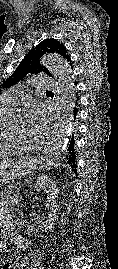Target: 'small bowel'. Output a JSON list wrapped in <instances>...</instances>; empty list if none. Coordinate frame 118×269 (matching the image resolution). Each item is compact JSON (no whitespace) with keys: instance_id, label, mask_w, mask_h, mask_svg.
I'll return each mask as SVG.
<instances>
[{"instance_id":"obj_1","label":"small bowel","mask_w":118,"mask_h":269,"mask_svg":"<svg viewBox=\"0 0 118 269\" xmlns=\"http://www.w3.org/2000/svg\"><path fill=\"white\" fill-rule=\"evenodd\" d=\"M10 206L0 204V251L13 245L18 250H25L29 246L27 238L14 232V223L10 215Z\"/></svg>"}]
</instances>
